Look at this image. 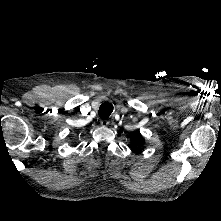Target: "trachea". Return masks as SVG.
<instances>
[{
  "label": "trachea",
  "instance_id": "1",
  "mask_svg": "<svg viewBox=\"0 0 221 221\" xmlns=\"http://www.w3.org/2000/svg\"><path fill=\"white\" fill-rule=\"evenodd\" d=\"M113 111V105L109 102L101 104L99 107V117L102 119H107Z\"/></svg>",
  "mask_w": 221,
  "mask_h": 221
}]
</instances>
